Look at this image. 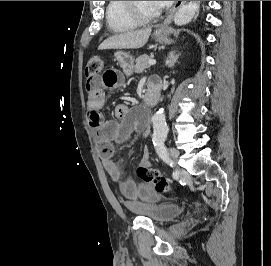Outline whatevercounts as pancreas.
<instances>
[{
  "instance_id": "1",
  "label": "pancreas",
  "mask_w": 271,
  "mask_h": 266,
  "mask_svg": "<svg viewBox=\"0 0 271 266\" xmlns=\"http://www.w3.org/2000/svg\"><path fill=\"white\" fill-rule=\"evenodd\" d=\"M151 59H152V57H150L146 54L139 56L135 61L136 64L134 66V71L136 73H141L145 69L149 68L148 61Z\"/></svg>"
}]
</instances>
